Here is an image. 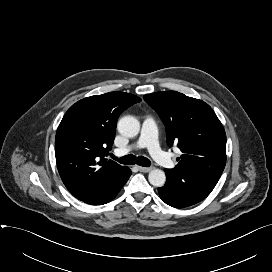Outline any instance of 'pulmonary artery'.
<instances>
[{
    "label": "pulmonary artery",
    "mask_w": 272,
    "mask_h": 272,
    "mask_svg": "<svg viewBox=\"0 0 272 272\" xmlns=\"http://www.w3.org/2000/svg\"><path fill=\"white\" fill-rule=\"evenodd\" d=\"M137 148H147L151 156L160 165L166 168H173L175 166L174 161L171 159V157L159 146L157 126L152 117H146L144 119L138 141L132 146L117 149L116 153L119 155H123Z\"/></svg>",
    "instance_id": "e3ab8cb5"
}]
</instances>
